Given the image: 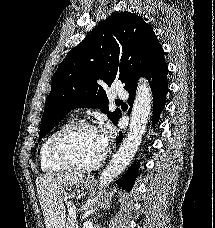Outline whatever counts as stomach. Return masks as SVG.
I'll return each instance as SVG.
<instances>
[{"instance_id": "0dacf381", "label": "stomach", "mask_w": 215, "mask_h": 228, "mask_svg": "<svg viewBox=\"0 0 215 228\" xmlns=\"http://www.w3.org/2000/svg\"><path fill=\"white\" fill-rule=\"evenodd\" d=\"M80 186L83 188V190H88V188H92V186H95V184H92L90 176H87L85 180H81Z\"/></svg>"}]
</instances>
